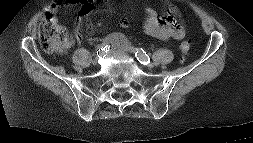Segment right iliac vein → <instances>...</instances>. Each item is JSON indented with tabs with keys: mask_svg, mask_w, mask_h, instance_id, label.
I'll return each mask as SVG.
<instances>
[{
	"mask_svg": "<svg viewBox=\"0 0 253 143\" xmlns=\"http://www.w3.org/2000/svg\"><path fill=\"white\" fill-rule=\"evenodd\" d=\"M93 64L96 65L97 64V59L93 60Z\"/></svg>",
	"mask_w": 253,
	"mask_h": 143,
	"instance_id": "obj_1",
	"label": "right iliac vein"
}]
</instances>
